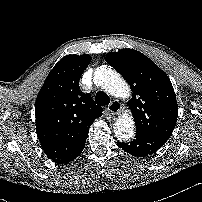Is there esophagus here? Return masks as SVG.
<instances>
[{
  "instance_id": "34e87169",
  "label": "esophagus",
  "mask_w": 202,
  "mask_h": 202,
  "mask_svg": "<svg viewBox=\"0 0 202 202\" xmlns=\"http://www.w3.org/2000/svg\"><path fill=\"white\" fill-rule=\"evenodd\" d=\"M107 111L111 114H118L121 111V104L118 101H113L108 106Z\"/></svg>"
}]
</instances>
